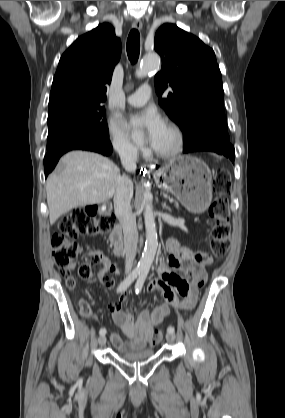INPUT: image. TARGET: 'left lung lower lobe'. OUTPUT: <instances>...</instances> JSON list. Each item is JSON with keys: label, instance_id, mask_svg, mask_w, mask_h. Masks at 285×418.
Here are the masks:
<instances>
[{"label": "left lung lower lobe", "instance_id": "obj_1", "mask_svg": "<svg viewBox=\"0 0 285 418\" xmlns=\"http://www.w3.org/2000/svg\"><path fill=\"white\" fill-rule=\"evenodd\" d=\"M196 151H212L218 154H223L229 158L233 163L235 159V150L230 142L221 140H209L198 142L194 145L184 148V153L196 152Z\"/></svg>", "mask_w": 285, "mask_h": 418}]
</instances>
